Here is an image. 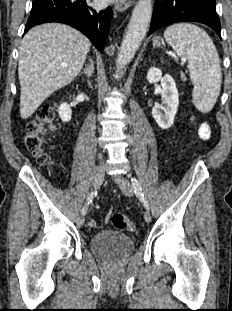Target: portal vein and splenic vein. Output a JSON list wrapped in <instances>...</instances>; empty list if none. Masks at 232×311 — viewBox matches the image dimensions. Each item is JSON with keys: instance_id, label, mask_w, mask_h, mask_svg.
<instances>
[{"instance_id": "1", "label": "portal vein and splenic vein", "mask_w": 232, "mask_h": 311, "mask_svg": "<svg viewBox=\"0 0 232 311\" xmlns=\"http://www.w3.org/2000/svg\"><path fill=\"white\" fill-rule=\"evenodd\" d=\"M62 67H64V68H65V67H67V65H65V64H62Z\"/></svg>"}]
</instances>
